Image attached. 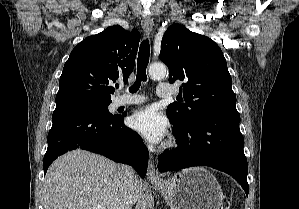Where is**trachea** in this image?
Returning <instances> with one entry per match:
<instances>
[{"instance_id":"obj_1","label":"trachea","mask_w":299,"mask_h":209,"mask_svg":"<svg viewBox=\"0 0 299 209\" xmlns=\"http://www.w3.org/2000/svg\"><path fill=\"white\" fill-rule=\"evenodd\" d=\"M150 45L148 39L142 41L137 59V76L135 83L129 88L131 93L137 92L141 82L146 81V68L149 63Z\"/></svg>"}]
</instances>
